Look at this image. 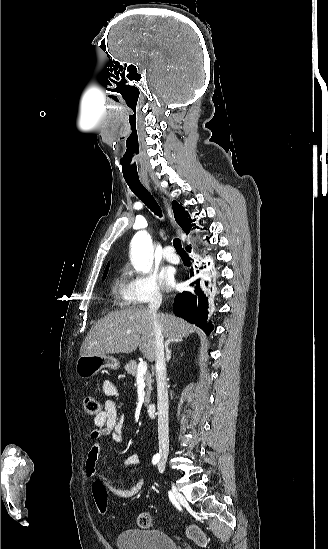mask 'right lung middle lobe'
<instances>
[{"label": "right lung middle lobe", "mask_w": 328, "mask_h": 549, "mask_svg": "<svg viewBox=\"0 0 328 549\" xmlns=\"http://www.w3.org/2000/svg\"><path fill=\"white\" fill-rule=\"evenodd\" d=\"M106 275H107V272H106V273H104V275H103V279H105Z\"/></svg>", "instance_id": "1"}]
</instances>
